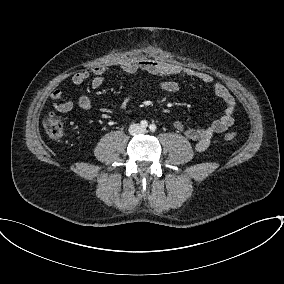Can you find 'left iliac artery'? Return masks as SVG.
Masks as SVG:
<instances>
[{
    "instance_id": "obj_1",
    "label": "left iliac artery",
    "mask_w": 284,
    "mask_h": 284,
    "mask_svg": "<svg viewBox=\"0 0 284 284\" xmlns=\"http://www.w3.org/2000/svg\"><path fill=\"white\" fill-rule=\"evenodd\" d=\"M150 131L154 132L156 130V125L155 124H151L149 126Z\"/></svg>"
}]
</instances>
